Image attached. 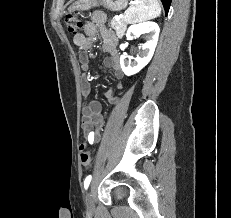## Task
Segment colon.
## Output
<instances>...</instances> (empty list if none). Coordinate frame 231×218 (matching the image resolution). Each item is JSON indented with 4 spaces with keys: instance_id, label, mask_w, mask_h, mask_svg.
<instances>
[{
    "instance_id": "1",
    "label": "colon",
    "mask_w": 231,
    "mask_h": 218,
    "mask_svg": "<svg viewBox=\"0 0 231 218\" xmlns=\"http://www.w3.org/2000/svg\"><path fill=\"white\" fill-rule=\"evenodd\" d=\"M64 22L69 34L77 35L78 31L82 28L81 21L73 14H67L64 18ZM80 159L84 166H88L91 163L90 152L85 150L81 151Z\"/></svg>"
}]
</instances>
